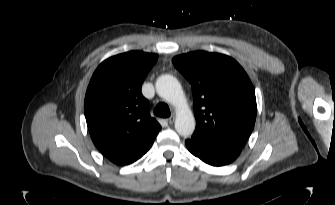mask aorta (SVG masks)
Listing matches in <instances>:
<instances>
[{"instance_id":"762f6f07","label":"aorta","mask_w":335,"mask_h":205,"mask_svg":"<svg viewBox=\"0 0 335 205\" xmlns=\"http://www.w3.org/2000/svg\"><path fill=\"white\" fill-rule=\"evenodd\" d=\"M157 94L176 109L175 129L183 137H189L195 130V118L187 105L181 84L172 75H162L156 80Z\"/></svg>"}]
</instances>
